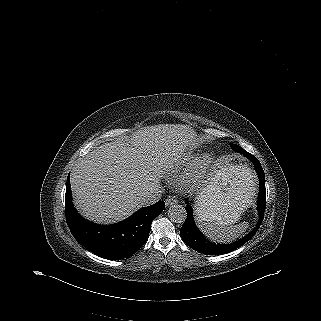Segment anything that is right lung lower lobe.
<instances>
[{
  "label": "right lung lower lobe",
  "mask_w": 321,
  "mask_h": 321,
  "mask_svg": "<svg viewBox=\"0 0 321 321\" xmlns=\"http://www.w3.org/2000/svg\"><path fill=\"white\" fill-rule=\"evenodd\" d=\"M65 203L66 221L74 238L94 254L110 260L127 258L137 252L149 237L152 221L165 207L163 201H158L119 223L94 224L82 218L73 207L69 176Z\"/></svg>",
  "instance_id": "1"
}]
</instances>
